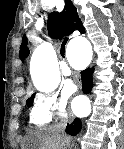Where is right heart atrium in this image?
<instances>
[{"label": "right heart atrium", "mask_w": 124, "mask_h": 149, "mask_svg": "<svg viewBox=\"0 0 124 149\" xmlns=\"http://www.w3.org/2000/svg\"><path fill=\"white\" fill-rule=\"evenodd\" d=\"M66 101L50 95L39 94L35 97L30 111V123L35 126L49 125L55 115L63 117Z\"/></svg>", "instance_id": "d8ad5b80"}]
</instances>
